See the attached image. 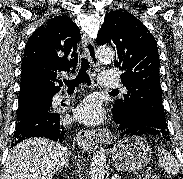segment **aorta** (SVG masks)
<instances>
[{
	"label": "aorta",
	"mask_w": 183,
	"mask_h": 179,
	"mask_svg": "<svg viewBox=\"0 0 183 179\" xmlns=\"http://www.w3.org/2000/svg\"><path fill=\"white\" fill-rule=\"evenodd\" d=\"M98 58L104 62H111L114 60L115 53L110 47L102 46L97 50ZM106 166V151L104 148H100L93 155L90 166L91 179H104Z\"/></svg>",
	"instance_id": "762f6f07"
}]
</instances>
